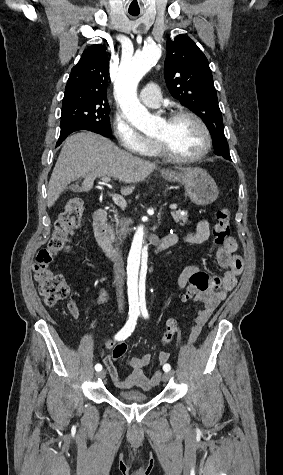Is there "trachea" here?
<instances>
[{"label":"trachea","instance_id":"obj_1","mask_svg":"<svg viewBox=\"0 0 283 475\" xmlns=\"http://www.w3.org/2000/svg\"><path fill=\"white\" fill-rule=\"evenodd\" d=\"M130 15H132L133 17H137L139 15V12L130 13Z\"/></svg>","mask_w":283,"mask_h":475}]
</instances>
